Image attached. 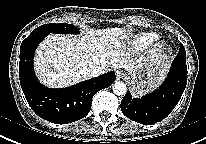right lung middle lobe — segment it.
Segmentation results:
<instances>
[{
	"instance_id": "1",
	"label": "right lung middle lobe",
	"mask_w": 206,
	"mask_h": 144,
	"mask_svg": "<svg viewBox=\"0 0 206 144\" xmlns=\"http://www.w3.org/2000/svg\"><path fill=\"white\" fill-rule=\"evenodd\" d=\"M71 33V34H76L79 32V30L72 24H66V23H61V24H44L39 27H37L33 33Z\"/></svg>"
}]
</instances>
